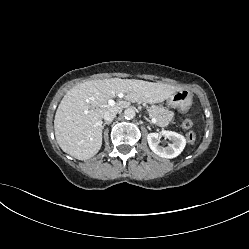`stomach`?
Instances as JSON below:
<instances>
[{
  "instance_id": "0dacf381",
  "label": "stomach",
  "mask_w": 249,
  "mask_h": 249,
  "mask_svg": "<svg viewBox=\"0 0 249 249\" xmlns=\"http://www.w3.org/2000/svg\"><path fill=\"white\" fill-rule=\"evenodd\" d=\"M177 93H173L169 98H168V105H172L174 103L173 99Z\"/></svg>"
}]
</instances>
